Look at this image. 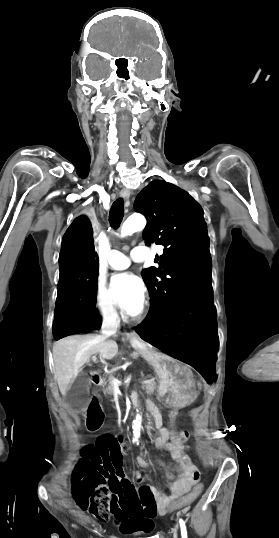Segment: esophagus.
<instances>
[{
    "instance_id": "esophagus-1",
    "label": "esophagus",
    "mask_w": 279,
    "mask_h": 538,
    "mask_svg": "<svg viewBox=\"0 0 279 538\" xmlns=\"http://www.w3.org/2000/svg\"><path fill=\"white\" fill-rule=\"evenodd\" d=\"M120 195L125 201H128L130 197V190L128 188H123L120 192ZM127 337L129 339L139 338L134 330L128 333Z\"/></svg>"
}]
</instances>
